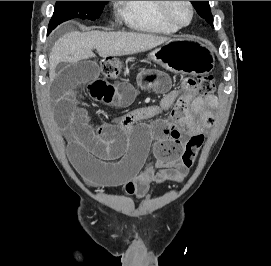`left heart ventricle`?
Wrapping results in <instances>:
<instances>
[{"instance_id": "left-heart-ventricle-1", "label": "left heart ventricle", "mask_w": 271, "mask_h": 266, "mask_svg": "<svg viewBox=\"0 0 271 266\" xmlns=\"http://www.w3.org/2000/svg\"><path fill=\"white\" fill-rule=\"evenodd\" d=\"M170 12L173 18L181 24H186L190 19V8L185 1H173Z\"/></svg>"}]
</instances>
